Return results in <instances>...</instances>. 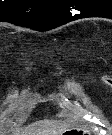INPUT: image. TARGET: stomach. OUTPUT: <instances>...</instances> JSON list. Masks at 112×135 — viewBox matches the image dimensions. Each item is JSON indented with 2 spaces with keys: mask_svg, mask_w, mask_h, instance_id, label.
<instances>
[{
  "mask_svg": "<svg viewBox=\"0 0 112 135\" xmlns=\"http://www.w3.org/2000/svg\"><path fill=\"white\" fill-rule=\"evenodd\" d=\"M85 134H89V132L82 128H73L62 133V135H85Z\"/></svg>",
  "mask_w": 112,
  "mask_h": 135,
  "instance_id": "1",
  "label": "stomach"
}]
</instances>
